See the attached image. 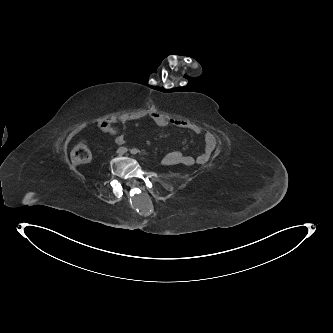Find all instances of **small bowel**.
I'll list each match as a JSON object with an SVG mask.
<instances>
[{"mask_svg": "<svg viewBox=\"0 0 333 333\" xmlns=\"http://www.w3.org/2000/svg\"><path fill=\"white\" fill-rule=\"evenodd\" d=\"M149 117L158 126L166 127L169 125H173L178 128L190 130L195 134L203 136L204 139V149L195 157L183 154L182 159H174L170 162L165 163L162 162L163 165H184L187 167H191L194 165H203L209 161L216 146V137L212 132L208 130H203L200 126L191 121L182 119H170L163 114L157 112L151 113ZM142 118L143 116L137 113L129 114L121 117L101 120L97 123V127L103 133L115 135L116 142L118 144H123L126 142V137L124 134L125 126L127 124L137 126Z\"/></svg>", "mask_w": 333, "mask_h": 333, "instance_id": "obj_1", "label": "small bowel"}]
</instances>
